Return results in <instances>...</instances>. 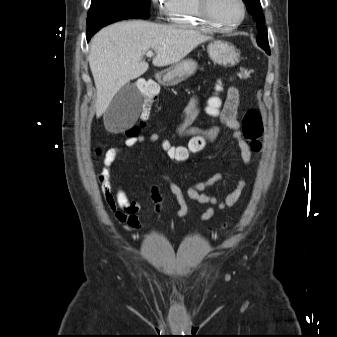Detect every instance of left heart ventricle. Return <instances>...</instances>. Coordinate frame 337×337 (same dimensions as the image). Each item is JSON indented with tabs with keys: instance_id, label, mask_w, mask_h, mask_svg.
<instances>
[{
	"instance_id": "1",
	"label": "left heart ventricle",
	"mask_w": 337,
	"mask_h": 337,
	"mask_svg": "<svg viewBox=\"0 0 337 337\" xmlns=\"http://www.w3.org/2000/svg\"><path fill=\"white\" fill-rule=\"evenodd\" d=\"M211 11L214 18L225 25L237 22L242 13L238 0H212Z\"/></svg>"
}]
</instances>
